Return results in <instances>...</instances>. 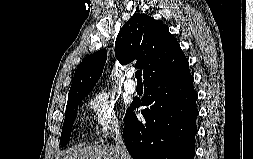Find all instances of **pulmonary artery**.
I'll use <instances>...</instances> for the list:
<instances>
[{"mask_svg":"<svg viewBox=\"0 0 253 159\" xmlns=\"http://www.w3.org/2000/svg\"><path fill=\"white\" fill-rule=\"evenodd\" d=\"M126 77H127V80L125 81V84H124V89L127 93L129 94H133L136 92L137 90V86H136V83L133 82V78H134V73L131 72V71H128L126 73Z\"/></svg>","mask_w":253,"mask_h":159,"instance_id":"e3ab8cb5","label":"pulmonary artery"}]
</instances>
